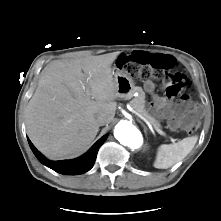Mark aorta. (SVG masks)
Instances as JSON below:
<instances>
[{"mask_svg":"<svg viewBox=\"0 0 221 221\" xmlns=\"http://www.w3.org/2000/svg\"><path fill=\"white\" fill-rule=\"evenodd\" d=\"M115 138L131 149L139 148L143 143L141 132L130 122L120 121L114 129Z\"/></svg>","mask_w":221,"mask_h":221,"instance_id":"obj_1","label":"aorta"}]
</instances>
